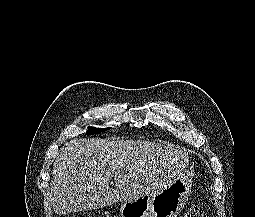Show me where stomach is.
Here are the masks:
<instances>
[{
    "mask_svg": "<svg viewBox=\"0 0 255 217\" xmlns=\"http://www.w3.org/2000/svg\"><path fill=\"white\" fill-rule=\"evenodd\" d=\"M192 176L184 169L150 195L123 202L121 217H178L188 201Z\"/></svg>",
    "mask_w": 255,
    "mask_h": 217,
    "instance_id": "obj_1",
    "label": "stomach"
}]
</instances>
